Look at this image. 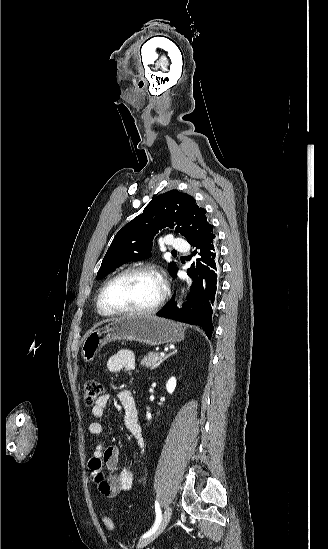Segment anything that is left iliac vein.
<instances>
[{
  "instance_id": "4c4485c4",
  "label": "left iliac vein",
  "mask_w": 328,
  "mask_h": 549,
  "mask_svg": "<svg viewBox=\"0 0 328 549\" xmlns=\"http://www.w3.org/2000/svg\"><path fill=\"white\" fill-rule=\"evenodd\" d=\"M171 506L168 504L167 507L164 510V514L162 516L161 522L158 526V528L153 532L150 536L143 539L135 549H142L143 547L147 546L151 541H153L155 538H157L163 530L166 528L167 524L169 523V520L171 518Z\"/></svg>"
}]
</instances>
